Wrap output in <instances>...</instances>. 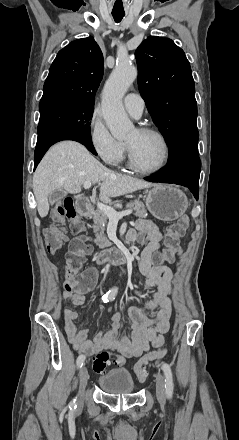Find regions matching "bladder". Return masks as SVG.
<instances>
[{
	"mask_svg": "<svg viewBox=\"0 0 239 440\" xmlns=\"http://www.w3.org/2000/svg\"><path fill=\"white\" fill-rule=\"evenodd\" d=\"M98 384L109 394H130L135 389L133 378L126 370H111L99 377Z\"/></svg>",
	"mask_w": 239,
	"mask_h": 440,
	"instance_id": "obj_1",
	"label": "bladder"
}]
</instances>
